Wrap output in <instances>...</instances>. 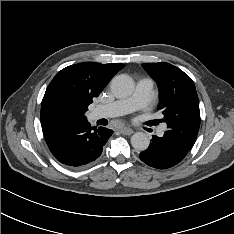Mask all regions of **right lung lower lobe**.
Returning <instances> with one entry per match:
<instances>
[{
  "instance_id": "obj_1",
  "label": "right lung lower lobe",
  "mask_w": 234,
  "mask_h": 234,
  "mask_svg": "<svg viewBox=\"0 0 234 234\" xmlns=\"http://www.w3.org/2000/svg\"><path fill=\"white\" fill-rule=\"evenodd\" d=\"M42 128L51 153L59 162L71 167L95 161L113 133L104 127H91L86 117Z\"/></svg>"
}]
</instances>
